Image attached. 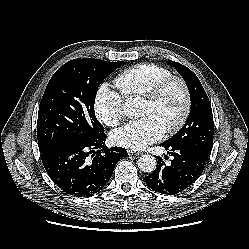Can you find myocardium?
<instances>
[{
	"label": "myocardium",
	"instance_id": "myocardium-1",
	"mask_svg": "<svg viewBox=\"0 0 249 249\" xmlns=\"http://www.w3.org/2000/svg\"><path fill=\"white\" fill-rule=\"evenodd\" d=\"M171 84H177L180 87L183 95V105L178 119L165 129L167 134L178 132L184 126L190 115L192 98L186 81L179 76L171 75L156 83L150 90L142 95L143 100L150 103H156Z\"/></svg>",
	"mask_w": 249,
	"mask_h": 249
}]
</instances>
